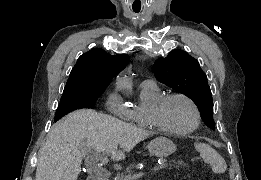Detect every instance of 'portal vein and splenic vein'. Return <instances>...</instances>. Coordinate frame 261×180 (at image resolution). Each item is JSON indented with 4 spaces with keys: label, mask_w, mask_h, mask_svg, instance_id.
I'll return each instance as SVG.
<instances>
[{
    "label": "portal vein and splenic vein",
    "mask_w": 261,
    "mask_h": 180,
    "mask_svg": "<svg viewBox=\"0 0 261 180\" xmlns=\"http://www.w3.org/2000/svg\"><path fill=\"white\" fill-rule=\"evenodd\" d=\"M101 154H104V156H109L110 152H101ZM167 166H171V161L159 162V165H153V168H151V173H156V170H167ZM149 174V170H143L140 174L138 172H133L132 176H125L124 180H136V178L142 179Z\"/></svg>",
    "instance_id": "portal-vein-and-splenic-vein-1"
}]
</instances>
